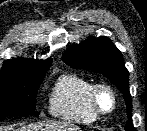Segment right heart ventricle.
Instances as JSON below:
<instances>
[{"label": "right heart ventricle", "instance_id": "e07e8e85", "mask_svg": "<svg viewBox=\"0 0 147 131\" xmlns=\"http://www.w3.org/2000/svg\"><path fill=\"white\" fill-rule=\"evenodd\" d=\"M93 81L76 73H65L55 81L49 94V113L56 118L90 124L98 116L91 108L89 94Z\"/></svg>", "mask_w": 147, "mask_h": 131}]
</instances>
